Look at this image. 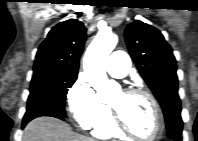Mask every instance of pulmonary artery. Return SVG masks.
<instances>
[{"mask_svg":"<svg viewBox=\"0 0 198 141\" xmlns=\"http://www.w3.org/2000/svg\"><path fill=\"white\" fill-rule=\"evenodd\" d=\"M130 67L131 63L129 56L124 51L112 52L106 61V69L108 73L117 78L125 77L128 74Z\"/></svg>","mask_w":198,"mask_h":141,"instance_id":"obj_1","label":"pulmonary artery"}]
</instances>
